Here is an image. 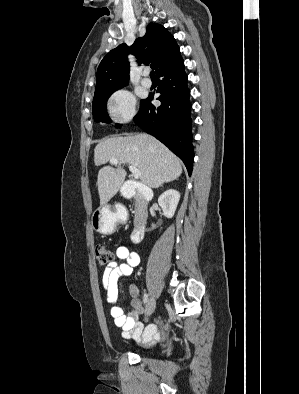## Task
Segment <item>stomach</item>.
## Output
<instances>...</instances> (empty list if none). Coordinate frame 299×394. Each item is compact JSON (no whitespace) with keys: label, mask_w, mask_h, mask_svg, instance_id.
<instances>
[{"label":"stomach","mask_w":299,"mask_h":394,"mask_svg":"<svg viewBox=\"0 0 299 394\" xmlns=\"http://www.w3.org/2000/svg\"><path fill=\"white\" fill-rule=\"evenodd\" d=\"M119 216L113 212L110 205H103L96 209L91 217L93 229L103 235L112 234L115 231Z\"/></svg>","instance_id":"1"}]
</instances>
